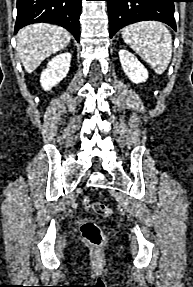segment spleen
I'll use <instances>...</instances> for the list:
<instances>
[{
  "instance_id": "3e777b00",
  "label": "spleen",
  "mask_w": 193,
  "mask_h": 287,
  "mask_svg": "<svg viewBox=\"0 0 193 287\" xmlns=\"http://www.w3.org/2000/svg\"><path fill=\"white\" fill-rule=\"evenodd\" d=\"M121 35L157 74L164 73L172 57V37L163 23L142 21L124 27Z\"/></svg>"
}]
</instances>
